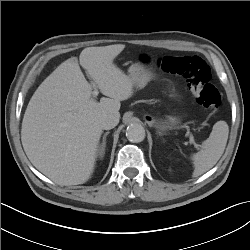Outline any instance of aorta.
<instances>
[{"label":"aorta","mask_w":250,"mask_h":250,"mask_svg":"<svg viewBox=\"0 0 250 250\" xmlns=\"http://www.w3.org/2000/svg\"><path fill=\"white\" fill-rule=\"evenodd\" d=\"M127 139L131 142L138 143L145 139V129L141 124L133 123L127 127L126 130Z\"/></svg>","instance_id":"obj_1"}]
</instances>
